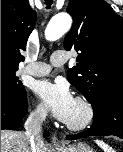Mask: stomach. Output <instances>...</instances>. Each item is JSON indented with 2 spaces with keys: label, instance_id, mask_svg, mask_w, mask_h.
Masks as SVG:
<instances>
[{
  "label": "stomach",
  "instance_id": "0dacf381",
  "mask_svg": "<svg viewBox=\"0 0 123 152\" xmlns=\"http://www.w3.org/2000/svg\"><path fill=\"white\" fill-rule=\"evenodd\" d=\"M57 152H94V151L87 144L77 143L64 148H58Z\"/></svg>",
  "mask_w": 123,
  "mask_h": 152
}]
</instances>
